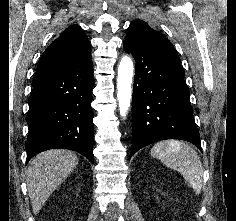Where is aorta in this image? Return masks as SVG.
<instances>
[{
    "label": "aorta",
    "mask_w": 236,
    "mask_h": 221,
    "mask_svg": "<svg viewBox=\"0 0 236 221\" xmlns=\"http://www.w3.org/2000/svg\"><path fill=\"white\" fill-rule=\"evenodd\" d=\"M133 62L130 57L124 56L118 67L117 78V98L120 109V115L125 117L130 106L132 95V76H133Z\"/></svg>",
    "instance_id": "1"
}]
</instances>
